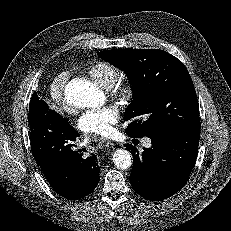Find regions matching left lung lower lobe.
Wrapping results in <instances>:
<instances>
[{"instance_id":"left-lung-lower-lobe-1","label":"left lung lower lobe","mask_w":231,"mask_h":231,"mask_svg":"<svg viewBox=\"0 0 231 231\" xmlns=\"http://www.w3.org/2000/svg\"><path fill=\"white\" fill-rule=\"evenodd\" d=\"M149 138L152 147L144 148L142 154L131 144L125 145L134 160L130 181L143 198L161 201L177 193L187 182L196 162L200 131Z\"/></svg>"}]
</instances>
